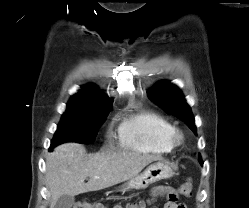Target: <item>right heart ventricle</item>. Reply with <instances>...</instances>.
Instances as JSON below:
<instances>
[{"label":"right heart ventricle","instance_id":"obj_1","mask_svg":"<svg viewBox=\"0 0 249 208\" xmlns=\"http://www.w3.org/2000/svg\"><path fill=\"white\" fill-rule=\"evenodd\" d=\"M174 130L167 118L152 111L128 116L119 128L122 144L144 154L170 153L173 147L169 137Z\"/></svg>","mask_w":249,"mask_h":208}]
</instances>
